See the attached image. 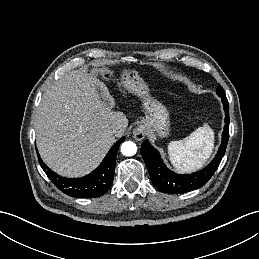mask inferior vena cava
Masks as SVG:
<instances>
[{"instance_id": "obj_1", "label": "inferior vena cava", "mask_w": 259, "mask_h": 259, "mask_svg": "<svg viewBox=\"0 0 259 259\" xmlns=\"http://www.w3.org/2000/svg\"><path fill=\"white\" fill-rule=\"evenodd\" d=\"M122 127L118 124H115V125H112L111 126V132L114 134V135H119L122 133Z\"/></svg>"}]
</instances>
